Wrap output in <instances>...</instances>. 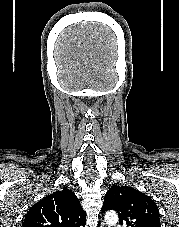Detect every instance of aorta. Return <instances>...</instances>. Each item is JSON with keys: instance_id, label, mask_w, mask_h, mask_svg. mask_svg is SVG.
I'll list each match as a JSON object with an SVG mask.
<instances>
[{"instance_id": "762f6f07", "label": "aorta", "mask_w": 179, "mask_h": 227, "mask_svg": "<svg viewBox=\"0 0 179 227\" xmlns=\"http://www.w3.org/2000/svg\"><path fill=\"white\" fill-rule=\"evenodd\" d=\"M105 222L108 224H116L118 222V215L114 211L105 214Z\"/></svg>"}]
</instances>
